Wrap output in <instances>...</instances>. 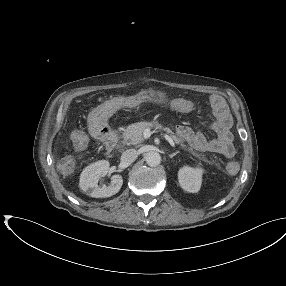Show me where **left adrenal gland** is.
<instances>
[{"label": "left adrenal gland", "mask_w": 286, "mask_h": 286, "mask_svg": "<svg viewBox=\"0 0 286 286\" xmlns=\"http://www.w3.org/2000/svg\"><path fill=\"white\" fill-rule=\"evenodd\" d=\"M179 153H180L179 151H176V152L170 154L169 157H170V158H173L175 155H177V154H179Z\"/></svg>", "instance_id": "left-adrenal-gland-1"}]
</instances>
